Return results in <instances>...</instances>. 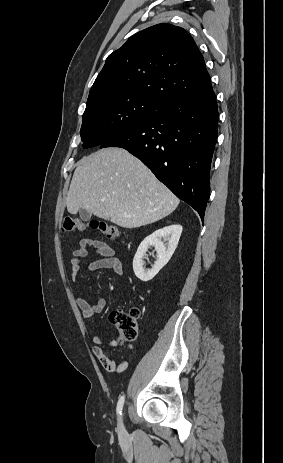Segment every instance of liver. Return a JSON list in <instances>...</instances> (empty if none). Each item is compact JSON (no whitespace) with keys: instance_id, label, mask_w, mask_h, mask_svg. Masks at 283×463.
I'll list each match as a JSON object with an SVG mask.
<instances>
[{"instance_id":"1","label":"liver","mask_w":283,"mask_h":463,"mask_svg":"<svg viewBox=\"0 0 283 463\" xmlns=\"http://www.w3.org/2000/svg\"><path fill=\"white\" fill-rule=\"evenodd\" d=\"M180 200L136 157L106 148L83 157L67 194L70 214L85 209L124 228L152 224L171 214Z\"/></svg>"}]
</instances>
